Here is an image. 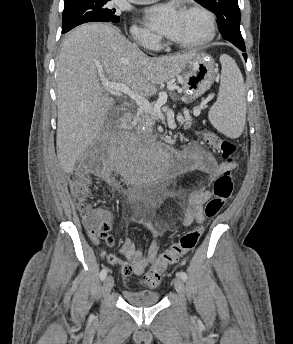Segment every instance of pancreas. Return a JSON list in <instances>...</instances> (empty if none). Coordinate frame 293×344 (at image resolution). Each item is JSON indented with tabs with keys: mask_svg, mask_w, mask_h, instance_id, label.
Segmentation results:
<instances>
[{
	"mask_svg": "<svg viewBox=\"0 0 293 344\" xmlns=\"http://www.w3.org/2000/svg\"><path fill=\"white\" fill-rule=\"evenodd\" d=\"M170 96L173 99L177 98V95L174 93H170ZM155 119H156L155 116L152 114H141L137 119L138 129L141 130V128L144 127L145 132L150 130L151 126H153L155 124ZM182 124H184L185 129H188L191 127V120L185 119L182 121ZM150 138H152V137L150 136Z\"/></svg>",
	"mask_w": 293,
	"mask_h": 344,
	"instance_id": "cf45deb5",
	"label": "pancreas"
}]
</instances>
